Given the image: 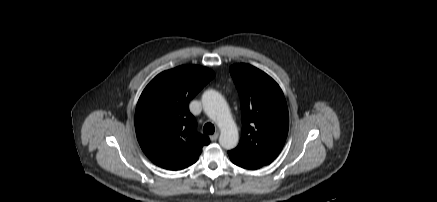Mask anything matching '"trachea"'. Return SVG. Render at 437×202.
Returning <instances> with one entry per match:
<instances>
[{
	"label": "trachea",
	"instance_id": "trachea-1",
	"mask_svg": "<svg viewBox=\"0 0 437 202\" xmlns=\"http://www.w3.org/2000/svg\"><path fill=\"white\" fill-rule=\"evenodd\" d=\"M203 132L205 134H213L215 132V127L212 123H206L203 127Z\"/></svg>",
	"mask_w": 437,
	"mask_h": 202
}]
</instances>
